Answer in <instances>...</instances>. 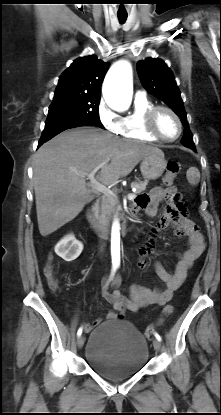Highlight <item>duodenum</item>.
Returning a JSON list of instances; mask_svg holds the SVG:
<instances>
[{
	"label": "duodenum",
	"mask_w": 221,
	"mask_h": 415,
	"mask_svg": "<svg viewBox=\"0 0 221 415\" xmlns=\"http://www.w3.org/2000/svg\"><path fill=\"white\" fill-rule=\"evenodd\" d=\"M135 211L133 207L130 209V213L133 214ZM86 218L92 227V229L98 234V235H105L108 233V227L102 224L97 217L94 214V211L92 208H89L86 212ZM121 232L122 234H128L129 233V223L127 220L122 221L121 223Z\"/></svg>",
	"instance_id": "1"
}]
</instances>
